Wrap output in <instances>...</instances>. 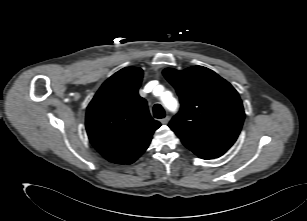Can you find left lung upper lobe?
Instances as JSON below:
<instances>
[{"label":"left lung upper lobe","mask_w":307,"mask_h":221,"mask_svg":"<svg viewBox=\"0 0 307 221\" xmlns=\"http://www.w3.org/2000/svg\"><path fill=\"white\" fill-rule=\"evenodd\" d=\"M163 74L180 97L181 109L169 127L183 144L228 150L235 143L245 117L233 86L202 66L183 71L166 68Z\"/></svg>","instance_id":"obj_1"}]
</instances>
